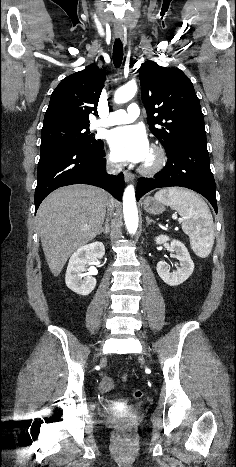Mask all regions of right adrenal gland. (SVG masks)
I'll return each instance as SVG.
<instances>
[{
    "instance_id": "1",
    "label": "right adrenal gland",
    "mask_w": 236,
    "mask_h": 467,
    "mask_svg": "<svg viewBox=\"0 0 236 467\" xmlns=\"http://www.w3.org/2000/svg\"><path fill=\"white\" fill-rule=\"evenodd\" d=\"M109 232H110V226H109L108 220L106 219L105 226L98 232V235L103 233L105 236H107Z\"/></svg>"
}]
</instances>
